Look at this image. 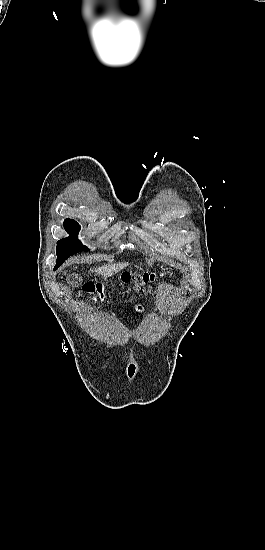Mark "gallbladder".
Listing matches in <instances>:
<instances>
[{
	"label": "gallbladder",
	"instance_id": "1",
	"mask_svg": "<svg viewBox=\"0 0 265 550\" xmlns=\"http://www.w3.org/2000/svg\"><path fill=\"white\" fill-rule=\"evenodd\" d=\"M80 281H71V285L73 286H79Z\"/></svg>",
	"mask_w": 265,
	"mask_h": 550
}]
</instances>
